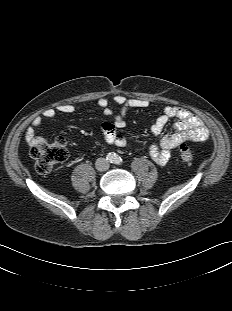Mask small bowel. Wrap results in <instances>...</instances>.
<instances>
[{"instance_id":"small-bowel-1","label":"small bowel","mask_w":232,"mask_h":311,"mask_svg":"<svg viewBox=\"0 0 232 311\" xmlns=\"http://www.w3.org/2000/svg\"><path fill=\"white\" fill-rule=\"evenodd\" d=\"M113 101L119 108L117 113L109 108V100L106 97H101L97 102L104 115L113 116L112 123L105 122L102 124L104 138L109 144L125 147L128 143L127 137L117 132V129L126 126V116L129 110L147 107L148 101L139 98H128L124 95H116ZM76 111H78V107L75 105L60 104L54 108L45 109L42 115L47 119H53L59 113L72 114ZM171 119H176L174 132L163 136L158 144L152 145L149 149L151 159L160 166H165L168 163L172 149L185 142L204 141L209 136L208 128L201 118L191 111L177 106H167L163 109L161 115L152 124L151 133L155 136L160 135ZM42 123V118L37 116L33 119L32 125L26 129L25 141L30 147L39 142H47L45 138L36 134V128H39Z\"/></svg>"}]
</instances>
